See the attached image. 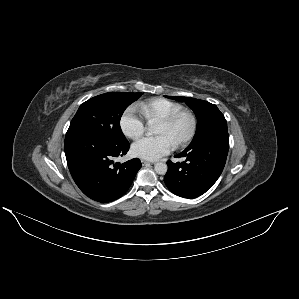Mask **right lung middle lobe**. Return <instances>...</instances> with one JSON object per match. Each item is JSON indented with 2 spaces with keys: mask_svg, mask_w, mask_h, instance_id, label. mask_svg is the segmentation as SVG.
Returning <instances> with one entry per match:
<instances>
[{
  "mask_svg": "<svg viewBox=\"0 0 299 299\" xmlns=\"http://www.w3.org/2000/svg\"><path fill=\"white\" fill-rule=\"evenodd\" d=\"M142 93L109 92L93 97L80 105L67 134L95 132L117 143L125 142L120 119L124 110Z\"/></svg>",
  "mask_w": 299,
  "mask_h": 299,
  "instance_id": "1",
  "label": "right lung middle lobe"
}]
</instances>
